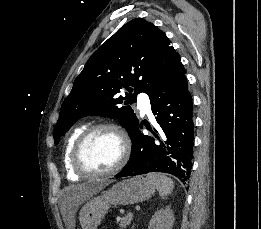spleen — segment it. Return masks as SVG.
<instances>
[{"instance_id": "1", "label": "spleen", "mask_w": 261, "mask_h": 229, "mask_svg": "<svg viewBox=\"0 0 261 229\" xmlns=\"http://www.w3.org/2000/svg\"><path fill=\"white\" fill-rule=\"evenodd\" d=\"M147 179L155 183L160 197H168L174 189V183L172 179L166 177V173H148Z\"/></svg>"}]
</instances>
